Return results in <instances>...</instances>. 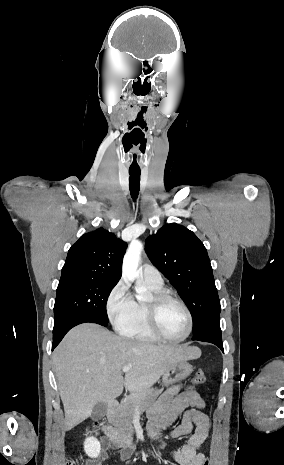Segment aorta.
Masks as SVG:
<instances>
[{
	"mask_svg": "<svg viewBox=\"0 0 284 465\" xmlns=\"http://www.w3.org/2000/svg\"><path fill=\"white\" fill-rule=\"evenodd\" d=\"M143 250V245L138 240H133L124 256L122 274L125 280L133 282L139 277L138 265L141 258V252ZM137 293L136 298L138 300H143L146 297V290L143 286L138 285L135 287Z\"/></svg>",
	"mask_w": 284,
	"mask_h": 465,
	"instance_id": "762f6f07",
	"label": "aorta"
}]
</instances>
